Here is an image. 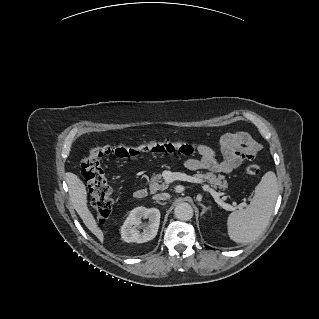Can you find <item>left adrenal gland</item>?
I'll list each match as a JSON object with an SVG mask.
<instances>
[{
  "label": "left adrenal gland",
  "instance_id": "left-adrenal-gland-1",
  "mask_svg": "<svg viewBox=\"0 0 319 319\" xmlns=\"http://www.w3.org/2000/svg\"><path fill=\"white\" fill-rule=\"evenodd\" d=\"M199 205L202 207L201 215L205 214V212H206L209 208L206 207L205 205H203L202 203H199Z\"/></svg>",
  "mask_w": 319,
  "mask_h": 319
}]
</instances>
